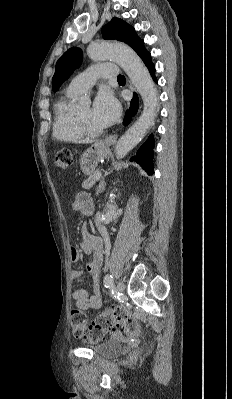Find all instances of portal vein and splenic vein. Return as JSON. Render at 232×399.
I'll return each mask as SVG.
<instances>
[{"label":"portal vein and splenic vein","instance_id":"obj_1","mask_svg":"<svg viewBox=\"0 0 232 399\" xmlns=\"http://www.w3.org/2000/svg\"><path fill=\"white\" fill-rule=\"evenodd\" d=\"M101 176H102L101 172H97V174H96V180H100Z\"/></svg>","mask_w":232,"mask_h":399}]
</instances>
